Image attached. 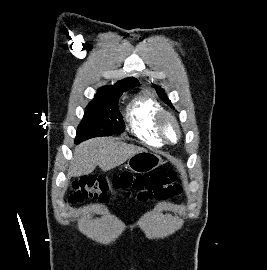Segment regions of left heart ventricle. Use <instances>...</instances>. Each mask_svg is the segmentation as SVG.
<instances>
[{"label":"left heart ventricle","instance_id":"b2bd125f","mask_svg":"<svg viewBox=\"0 0 267 270\" xmlns=\"http://www.w3.org/2000/svg\"><path fill=\"white\" fill-rule=\"evenodd\" d=\"M165 131L171 140H174L176 138V128L170 120H167L165 122Z\"/></svg>","mask_w":267,"mask_h":270}]
</instances>
